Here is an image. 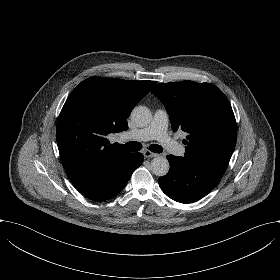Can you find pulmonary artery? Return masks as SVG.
<instances>
[{"label":"pulmonary artery","mask_w":280,"mask_h":280,"mask_svg":"<svg viewBox=\"0 0 280 280\" xmlns=\"http://www.w3.org/2000/svg\"><path fill=\"white\" fill-rule=\"evenodd\" d=\"M169 116L163 109L155 111L147 127L128 132L132 138L142 141L157 140L169 153L176 156L185 155V146L168 135Z\"/></svg>","instance_id":"pulmonary-artery-1"}]
</instances>
